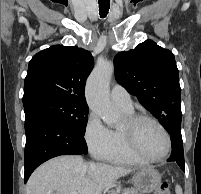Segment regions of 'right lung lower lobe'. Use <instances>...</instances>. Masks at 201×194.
I'll use <instances>...</instances> for the list:
<instances>
[{"mask_svg":"<svg viewBox=\"0 0 201 194\" xmlns=\"http://www.w3.org/2000/svg\"><path fill=\"white\" fill-rule=\"evenodd\" d=\"M25 183L43 162L59 155L87 153L83 136L57 118L40 112L25 114Z\"/></svg>","mask_w":201,"mask_h":194,"instance_id":"obj_1","label":"right lung lower lobe"}]
</instances>
